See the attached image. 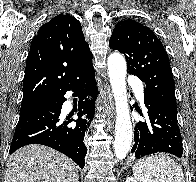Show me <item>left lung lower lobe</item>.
Here are the masks:
<instances>
[{
    "instance_id": "obj_1",
    "label": "left lung lower lobe",
    "mask_w": 196,
    "mask_h": 182,
    "mask_svg": "<svg viewBox=\"0 0 196 182\" xmlns=\"http://www.w3.org/2000/svg\"><path fill=\"white\" fill-rule=\"evenodd\" d=\"M145 122L135 126L132 153L137 159L154 153L183 154L177 111L163 103L153 93L144 90ZM136 110L143 116L141 110Z\"/></svg>"
}]
</instances>
